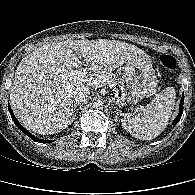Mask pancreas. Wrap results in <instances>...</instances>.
Listing matches in <instances>:
<instances>
[{
    "label": "pancreas",
    "instance_id": "obj_1",
    "mask_svg": "<svg viewBox=\"0 0 195 195\" xmlns=\"http://www.w3.org/2000/svg\"><path fill=\"white\" fill-rule=\"evenodd\" d=\"M100 75H105L107 78V82H110L114 86H121L123 84L122 79L119 78L116 74L106 72V73H102Z\"/></svg>",
    "mask_w": 195,
    "mask_h": 195
}]
</instances>
